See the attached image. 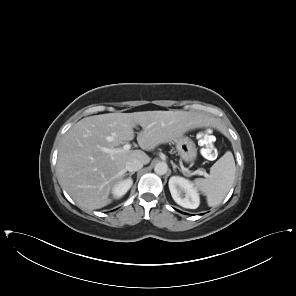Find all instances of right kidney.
Wrapping results in <instances>:
<instances>
[{"label":"right kidney","mask_w":296,"mask_h":296,"mask_svg":"<svg viewBox=\"0 0 296 296\" xmlns=\"http://www.w3.org/2000/svg\"><path fill=\"white\" fill-rule=\"evenodd\" d=\"M133 184L132 179H125L118 182L112 189V194L115 199H120L124 196Z\"/></svg>","instance_id":"obj_1"}]
</instances>
